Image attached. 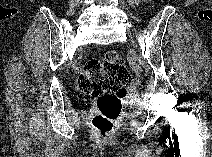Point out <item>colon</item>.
Wrapping results in <instances>:
<instances>
[{
  "label": "colon",
  "mask_w": 212,
  "mask_h": 157,
  "mask_svg": "<svg viewBox=\"0 0 212 157\" xmlns=\"http://www.w3.org/2000/svg\"><path fill=\"white\" fill-rule=\"evenodd\" d=\"M132 75L116 51H109L102 60H89L78 80L82 92L98 98L92 126L99 137H109L115 120L122 111Z\"/></svg>",
  "instance_id": "colon-1"
}]
</instances>
